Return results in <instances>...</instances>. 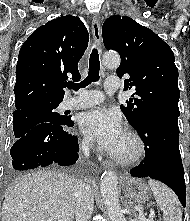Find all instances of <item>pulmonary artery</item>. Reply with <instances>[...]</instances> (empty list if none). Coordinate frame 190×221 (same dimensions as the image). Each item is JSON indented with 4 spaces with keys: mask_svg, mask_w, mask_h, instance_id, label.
Wrapping results in <instances>:
<instances>
[{
    "mask_svg": "<svg viewBox=\"0 0 190 221\" xmlns=\"http://www.w3.org/2000/svg\"><path fill=\"white\" fill-rule=\"evenodd\" d=\"M119 80L109 77L105 80V90L107 93H114L119 89ZM103 94L97 90H80L78 96L64 101L63 106L68 110L85 109L97 105L103 101Z\"/></svg>",
    "mask_w": 190,
    "mask_h": 221,
    "instance_id": "obj_1",
    "label": "pulmonary artery"
}]
</instances>
